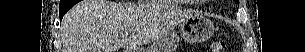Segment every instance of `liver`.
I'll return each mask as SVG.
<instances>
[{
	"instance_id": "liver-1",
	"label": "liver",
	"mask_w": 305,
	"mask_h": 52,
	"mask_svg": "<svg viewBox=\"0 0 305 52\" xmlns=\"http://www.w3.org/2000/svg\"><path fill=\"white\" fill-rule=\"evenodd\" d=\"M158 10V5L80 1L63 18L62 52H116L121 47L132 50L158 39L192 15L173 9L164 12L160 20Z\"/></svg>"
}]
</instances>
